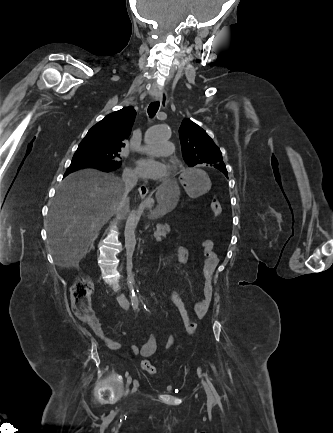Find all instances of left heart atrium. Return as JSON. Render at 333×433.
I'll return each mask as SVG.
<instances>
[{
	"mask_svg": "<svg viewBox=\"0 0 333 433\" xmlns=\"http://www.w3.org/2000/svg\"><path fill=\"white\" fill-rule=\"evenodd\" d=\"M138 174L147 179L159 180L167 173L166 165L152 158H141L136 162Z\"/></svg>",
	"mask_w": 333,
	"mask_h": 433,
	"instance_id": "obj_1",
	"label": "left heart atrium"
}]
</instances>
